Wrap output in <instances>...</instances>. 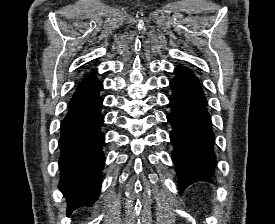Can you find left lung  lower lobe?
Here are the masks:
<instances>
[{
	"instance_id": "0a47b994",
	"label": "left lung lower lobe",
	"mask_w": 275,
	"mask_h": 224,
	"mask_svg": "<svg viewBox=\"0 0 275 224\" xmlns=\"http://www.w3.org/2000/svg\"><path fill=\"white\" fill-rule=\"evenodd\" d=\"M170 81L172 111L167 116L172 126V161L179 178V190L197 181H211L215 172V135L206 98L194 73L180 66Z\"/></svg>"
}]
</instances>
